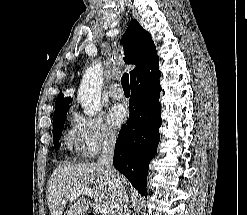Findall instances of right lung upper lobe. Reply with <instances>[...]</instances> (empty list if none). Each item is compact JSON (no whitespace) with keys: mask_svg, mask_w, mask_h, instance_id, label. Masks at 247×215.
<instances>
[{"mask_svg":"<svg viewBox=\"0 0 247 215\" xmlns=\"http://www.w3.org/2000/svg\"><path fill=\"white\" fill-rule=\"evenodd\" d=\"M121 41L124 47L125 62L136 65V68L130 72V79L158 58L151 35L136 20L130 22ZM70 101V97L64 98V95L60 93L55 103L54 115L67 110Z\"/></svg>","mask_w":247,"mask_h":215,"instance_id":"cb5924a9","label":"right lung upper lobe"}]
</instances>
